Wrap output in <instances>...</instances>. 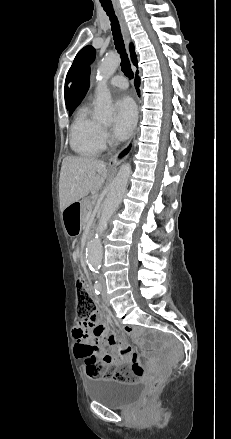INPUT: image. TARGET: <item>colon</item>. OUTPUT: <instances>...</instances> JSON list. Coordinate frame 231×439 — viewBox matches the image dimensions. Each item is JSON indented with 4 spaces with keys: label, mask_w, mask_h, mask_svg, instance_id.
<instances>
[{
    "label": "colon",
    "mask_w": 231,
    "mask_h": 439,
    "mask_svg": "<svg viewBox=\"0 0 231 439\" xmlns=\"http://www.w3.org/2000/svg\"><path fill=\"white\" fill-rule=\"evenodd\" d=\"M76 287L78 292L77 315L80 322L88 324L94 316L95 301L87 289L85 278L80 274L76 279ZM122 330L125 333H130L133 329L132 327L124 326ZM85 363L87 373L92 378L111 376L116 381L125 382L142 373L141 367L138 364H134L131 367H118L114 372L109 374L104 362H97L96 359H88ZM165 378V375H160L148 381L147 388L141 396V402L143 404H146L153 399Z\"/></svg>",
    "instance_id": "5ec220e1"
}]
</instances>
